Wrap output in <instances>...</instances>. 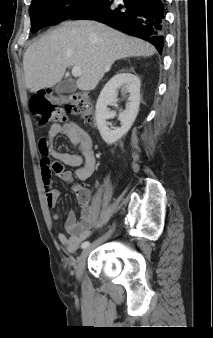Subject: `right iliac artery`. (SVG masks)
<instances>
[{
	"mask_svg": "<svg viewBox=\"0 0 213 338\" xmlns=\"http://www.w3.org/2000/svg\"><path fill=\"white\" fill-rule=\"evenodd\" d=\"M89 245H90V242H89V241H85V242L82 243L81 247H82V249H85V248H87Z\"/></svg>",
	"mask_w": 213,
	"mask_h": 338,
	"instance_id": "82829eb1",
	"label": "right iliac artery"
}]
</instances>
